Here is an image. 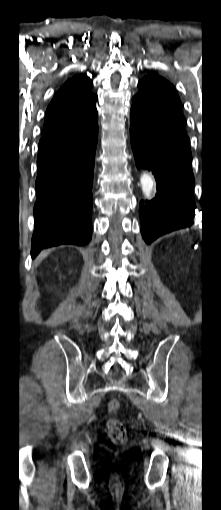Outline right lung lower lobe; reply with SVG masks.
<instances>
[{"label":"right lung lower lobe","instance_id":"right-lung-lower-lobe-1","mask_svg":"<svg viewBox=\"0 0 221 510\" xmlns=\"http://www.w3.org/2000/svg\"><path fill=\"white\" fill-rule=\"evenodd\" d=\"M97 137L96 118L79 132L39 143L33 258L44 248L89 243Z\"/></svg>","mask_w":221,"mask_h":510}]
</instances>
